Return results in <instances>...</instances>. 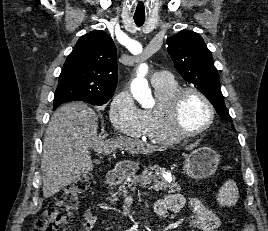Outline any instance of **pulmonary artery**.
Listing matches in <instances>:
<instances>
[{"mask_svg":"<svg viewBox=\"0 0 268 231\" xmlns=\"http://www.w3.org/2000/svg\"><path fill=\"white\" fill-rule=\"evenodd\" d=\"M168 76V72L167 71H158L155 72L152 76H151V83H157L159 81L165 80L167 79Z\"/></svg>","mask_w":268,"mask_h":231,"instance_id":"1","label":"pulmonary artery"}]
</instances>
